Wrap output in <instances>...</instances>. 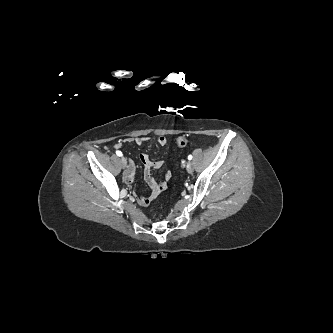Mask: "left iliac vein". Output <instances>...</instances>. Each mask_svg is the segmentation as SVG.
Wrapping results in <instances>:
<instances>
[{
	"instance_id": "1",
	"label": "left iliac vein",
	"mask_w": 333,
	"mask_h": 333,
	"mask_svg": "<svg viewBox=\"0 0 333 333\" xmlns=\"http://www.w3.org/2000/svg\"><path fill=\"white\" fill-rule=\"evenodd\" d=\"M186 169H187L188 173H192L193 172V165H192L191 162L187 163Z\"/></svg>"
}]
</instances>
